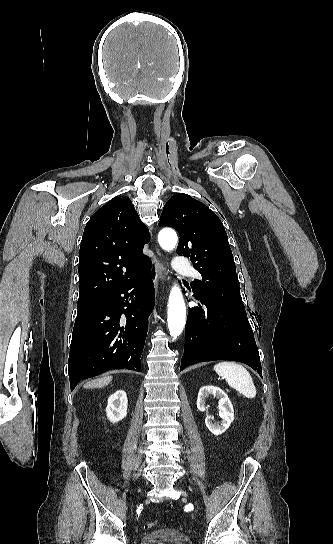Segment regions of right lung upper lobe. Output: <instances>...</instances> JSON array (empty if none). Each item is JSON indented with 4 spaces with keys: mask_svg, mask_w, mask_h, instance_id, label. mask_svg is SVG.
<instances>
[{
    "mask_svg": "<svg viewBox=\"0 0 333 544\" xmlns=\"http://www.w3.org/2000/svg\"><path fill=\"white\" fill-rule=\"evenodd\" d=\"M150 240L129 198L115 197L88 221L79 254V299L110 297L151 266L142 253Z\"/></svg>",
    "mask_w": 333,
    "mask_h": 544,
    "instance_id": "obj_1",
    "label": "right lung upper lobe"
}]
</instances>
